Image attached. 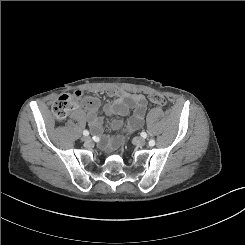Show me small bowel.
Here are the masks:
<instances>
[{
  "label": "small bowel",
  "instance_id": "1",
  "mask_svg": "<svg viewBox=\"0 0 245 245\" xmlns=\"http://www.w3.org/2000/svg\"><path fill=\"white\" fill-rule=\"evenodd\" d=\"M75 93L80 94V96L83 95L80 90ZM107 95L113 98V101L104 106L102 116L97 114L99 102L95 97H85L82 102L87 111V120L95 135L102 134L104 120L112 115L118 117L113 120L112 128L114 130L120 129L123 124L122 118L128 116L131 109L133 110V115L128 120V129L134 131L142 126L147 110V101L142 94L111 88L107 90ZM109 144L110 138L107 136L103 139L102 145L108 146Z\"/></svg>",
  "mask_w": 245,
  "mask_h": 245
}]
</instances>
